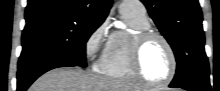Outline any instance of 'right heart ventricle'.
<instances>
[{
	"label": "right heart ventricle",
	"instance_id": "obj_1",
	"mask_svg": "<svg viewBox=\"0 0 220 91\" xmlns=\"http://www.w3.org/2000/svg\"><path fill=\"white\" fill-rule=\"evenodd\" d=\"M129 29L115 31L109 37L106 48L99 63L100 74L118 81L137 82L129 63V48L131 38L140 32L148 31L150 23L147 18H139L122 14Z\"/></svg>",
	"mask_w": 220,
	"mask_h": 91
}]
</instances>
